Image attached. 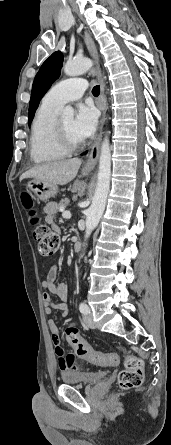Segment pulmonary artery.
I'll list each match as a JSON object with an SVG mask.
<instances>
[{
	"label": "pulmonary artery",
	"mask_w": 171,
	"mask_h": 445,
	"mask_svg": "<svg viewBox=\"0 0 171 445\" xmlns=\"http://www.w3.org/2000/svg\"><path fill=\"white\" fill-rule=\"evenodd\" d=\"M87 89V83L82 78H70L54 85L44 96L43 102L61 108L68 102L78 100Z\"/></svg>",
	"instance_id": "pulmonary-artery-1"
}]
</instances>
